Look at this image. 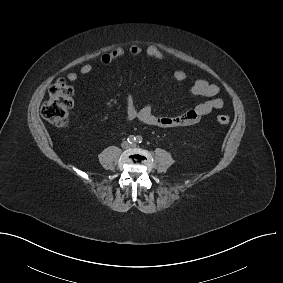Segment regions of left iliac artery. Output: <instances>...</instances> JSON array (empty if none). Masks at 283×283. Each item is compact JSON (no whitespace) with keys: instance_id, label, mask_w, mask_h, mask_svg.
Returning a JSON list of instances; mask_svg holds the SVG:
<instances>
[{"instance_id":"1","label":"left iliac artery","mask_w":283,"mask_h":283,"mask_svg":"<svg viewBox=\"0 0 283 283\" xmlns=\"http://www.w3.org/2000/svg\"><path fill=\"white\" fill-rule=\"evenodd\" d=\"M143 141V138L141 136H137L136 142L141 143Z\"/></svg>"}]
</instances>
